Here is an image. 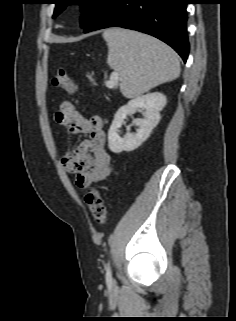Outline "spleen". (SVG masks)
<instances>
[{"label":"spleen","mask_w":236,"mask_h":321,"mask_svg":"<svg viewBox=\"0 0 236 321\" xmlns=\"http://www.w3.org/2000/svg\"><path fill=\"white\" fill-rule=\"evenodd\" d=\"M103 38L108 46L107 63L120 75V90L126 98L138 97L180 75L175 51L154 37L112 28Z\"/></svg>","instance_id":"obj_1"}]
</instances>
